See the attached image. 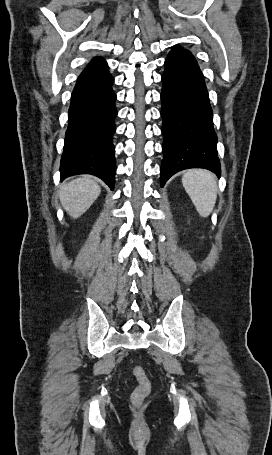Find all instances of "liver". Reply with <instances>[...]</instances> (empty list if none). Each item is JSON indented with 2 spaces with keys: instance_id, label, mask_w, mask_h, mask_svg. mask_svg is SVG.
I'll return each mask as SVG.
<instances>
[{
  "instance_id": "1",
  "label": "liver",
  "mask_w": 272,
  "mask_h": 455,
  "mask_svg": "<svg viewBox=\"0 0 272 455\" xmlns=\"http://www.w3.org/2000/svg\"><path fill=\"white\" fill-rule=\"evenodd\" d=\"M101 188L90 176H82L60 187L63 208L73 218L83 215L100 195Z\"/></svg>"
}]
</instances>
